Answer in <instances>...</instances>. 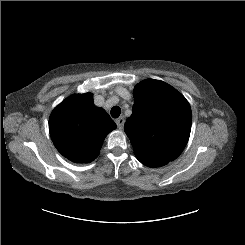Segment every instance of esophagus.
Listing matches in <instances>:
<instances>
[{
	"mask_svg": "<svg viewBox=\"0 0 245 245\" xmlns=\"http://www.w3.org/2000/svg\"><path fill=\"white\" fill-rule=\"evenodd\" d=\"M125 119L123 116H120L118 119H116V124L119 129H122L124 126Z\"/></svg>",
	"mask_w": 245,
	"mask_h": 245,
	"instance_id": "1",
	"label": "esophagus"
}]
</instances>
